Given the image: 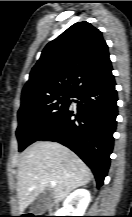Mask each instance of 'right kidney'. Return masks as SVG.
Instances as JSON below:
<instances>
[{
    "mask_svg": "<svg viewBox=\"0 0 132 217\" xmlns=\"http://www.w3.org/2000/svg\"><path fill=\"white\" fill-rule=\"evenodd\" d=\"M91 201L90 192L86 189H77L71 193L58 210L57 216H83Z\"/></svg>",
    "mask_w": 132,
    "mask_h": 217,
    "instance_id": "right-kidney-1",
    "label": "right kidney"
}]
</instances>
